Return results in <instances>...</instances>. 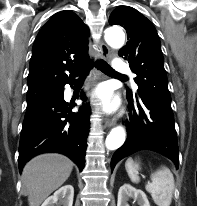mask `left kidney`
Returning <instances> with one entry per match:
<instances>
[{"label":"left kidney","instance_id":"1","mask_svg":"<svg viewBox=\"0 0 197 206\" xmlns=\"http://www.w3.org/2000/svg\"><path fill=\"white\" fill-rule=\"evenodd\" d=\"M129 198L137 201L139 206H150L147 196L142 190L136 189L129 184H124L118 192L117 206H129L127 203Z\"/></svg>","mask_w":197,"mask_h":206}]
</instances>
